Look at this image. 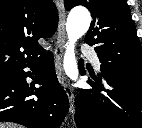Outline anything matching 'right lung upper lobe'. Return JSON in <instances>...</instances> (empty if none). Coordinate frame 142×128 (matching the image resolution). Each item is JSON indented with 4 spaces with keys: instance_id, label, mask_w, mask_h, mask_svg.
I'll list each match as a JSON object with an SVG mask.
<instances>
[{
    "instance_id": "obj_1",
    "label": "right lung upper lobe",
    "mask_w": 142,
    "mask_h": 128,
    "mask_svg": "<svg viewBox=\"0 0 142 128\" xmlns=\"http://www.w3.org/2000/svg\"><path fill=\"white\" fill-rule=\"evenodd\" d=\"M57 23L52 0H0V78L36 61L38 39L50 37Z\"/></svg>"
}]
</instances>
